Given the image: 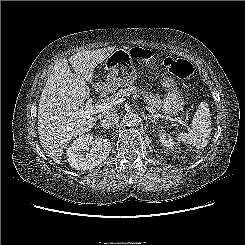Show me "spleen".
Segmentation results:
<instances>
[{"instance_id":"1","label":"spleen","mask_w":245,"mask_h":245,"mask_svg":"<svg viewBox=\"0 0 245 245\" xmlns=\"http://www.w3.org/2000/svg\"><path fill=\"white\" fill-rule=\"evenodd\" d=\"M211 133V115L206 102H201L195 112L191 130L188 133L180 132L177 135L178 141L191 144L198 150L207 146Z\"/></svg>"}]
</instances>
